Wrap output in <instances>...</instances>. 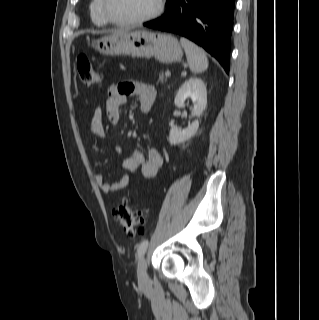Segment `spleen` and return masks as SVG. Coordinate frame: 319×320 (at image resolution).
<instances>
[{
  "label": "spleen",
  "mask_w": 319,
  "mask_h": 320,
  "mask_svg": "<svg viewBox=\"0 0 319 320\" xmlns=\"http://www.w3.org/2000/svg\"><path fill=\"white\" fill-rule=\"evenodd\" d=\"M180 42L186 52L190 70L193 73L204 72L208 68V59L205 52L187 38L181 37Z\"/></svg>",
  "instance_id": "1"
}]
</instances>
